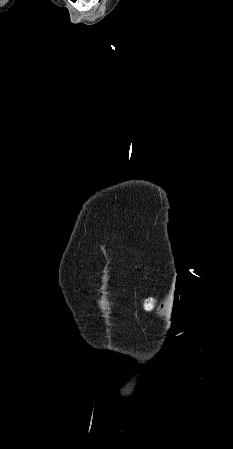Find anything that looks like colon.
Wrapping results in <instances>:
<instances>
[{
	"instance_id": "5ec220e1",
	"label": "colon",
	"mask_w": 233,
	"mask_h": 449,
	"mask_svg": "<svg viewBox=\"0 0 233 449\" xmlns=\"http://www.w3.org/2000/svg\"><path fill=\"white\" fill-rule=\"evenodd\" d=\"M106 306H107V308H108V309H110V310H111V309H113V308H114V306H115V305H114V303H113V302H111V301H110V302H108V303H107V305H106Z\"/></svg>"
}]
</instances>
